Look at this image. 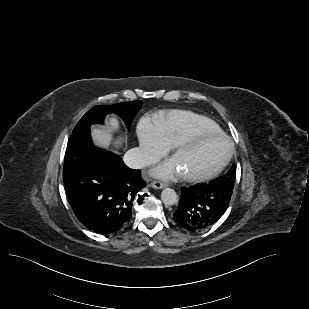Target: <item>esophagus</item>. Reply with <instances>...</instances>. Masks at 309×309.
I'll list each match as a JSON object with an SVG mask.
<instances>
[{
  "label": "esophagus",
  "instance_id": "34e87169",
  "mask_svg": "<svg viewBox=\"0 0 309 309\" xmlns=\"http://www.w3.org/2000/svg\"><path fill=\"white\" fill-rule=\"evenodd\" d=\"M150 186H151L152 188H155V189H163V188H165L167 185H166V183L161 182V181H153V182H151Z\"/></svg>",
  "mask_w": 309,
  "mask_h": 309
}]
</instances>
